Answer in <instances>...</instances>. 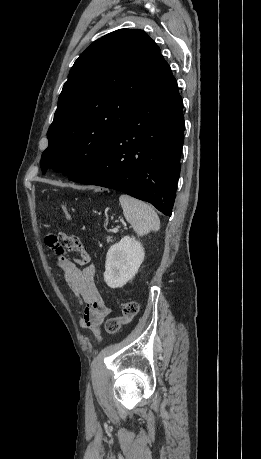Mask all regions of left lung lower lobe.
<instances>
[{"mask_svg":"<svg viewBox=\"0 0 261 459\" xmlns=\"http://www.w3.org/2000/svg\"><path fill=\"white\" fill-rule=\"evenodd\" d=\"M182 109L177 82L170 73L97 162L69 180L124 192L171 216L185 129Z\"/></svg>","mask_w":261,"mask_h":459,"instance_id":"1","label":"left lung lower lobe"}]
</instances>
